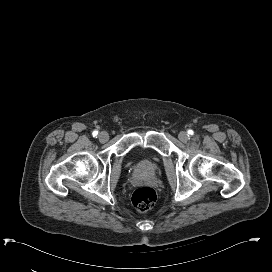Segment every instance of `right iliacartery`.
I'll return each instance as SVG.
<instances>
[{
  "label": "right iliac artery",
  "instance_id": "right-iliac-artery-1",
  "mask_svg": "<svg viewBox=\"0 0 272 272\" xmlns=\"http://www.w3.org/2000/svg\"><path fill=\"white\" fill-rule=\"evenodd\" d=\"M92 135L93 137H96L98 135V131H93Z\"/></svg>",
  "mask_w": 272,
  "mask_h": 272
}]
</instances>
